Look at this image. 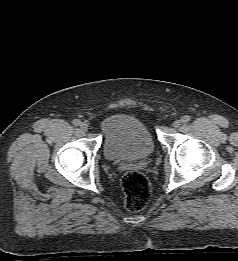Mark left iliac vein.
Returning <instances> with one entry per match:
<instances>
[{"instance_id": "1", "label": "left iliac vein", "mask_w": 238, "mask_h": 261, "mask_svg": "<svg viewBox=\"0 0 238 261\" xmlns=\"http://www.w3.org/2000/svg\"><path fill=\"white\" fill-rule=\"evenodd\" d=\"M181 125V121L180 120H176L173 122V127L174 128H178Z\"/></svg>"}]
</instances>
